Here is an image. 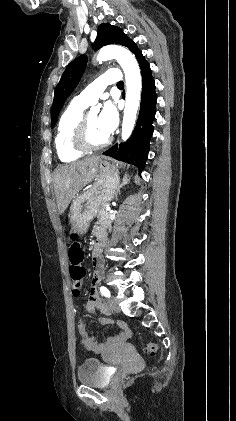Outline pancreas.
Segmentation results:
<instances>
[{
  "label": "pancreas",
  "instance_id": "obj_1",
  "mask_svg": "<svg viewBox=\"0 0 236 421\" xmlns=\"http://www.w3.org/2000/svg\"><path fill=\"white\" fill-rule=\"evenodd\" d=\"M97 219L96 225H101V227H105V229H111L112 221L109 219V213L105 211V202L99 208Z\"/></svg>",
  "mask_w": 236,
  "mask_h": 421
}]
</instances>
